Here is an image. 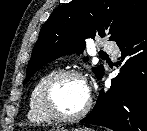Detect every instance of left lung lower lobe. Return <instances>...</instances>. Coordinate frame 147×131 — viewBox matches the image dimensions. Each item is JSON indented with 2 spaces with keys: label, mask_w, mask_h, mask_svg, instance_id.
<instances>
[{
  "label": "left lung lower lobe",
  "mask_w": 147,
  "mask_h": 131,
  "mask_svg": "<svg viewBox=\"0 0 147 131\" xmlns=\"http://www.w3.org/2000/svg\"><path fill=\"white\" fill-rule=\"evenodd\" d=\"M118 46L120 73L80 122L114 131H147V26Z\"/></svg>",
  "instance_id": "left-lung-lower-lobe-1"
}]
</instances>
